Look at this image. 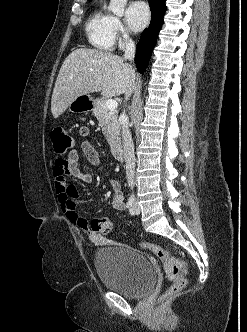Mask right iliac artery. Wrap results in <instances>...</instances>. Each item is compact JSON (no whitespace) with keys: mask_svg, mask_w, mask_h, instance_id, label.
<instances>
[{"mask_svg":"<svg viewBox=\"0 0 247 332\" xmlns=\"http://www.w3.org/2000/svg\"><path fill=\"white\" fill-rule=\"evenodd\" d=\"M133 204H134V199L133 197H129L128 202H127V208H129L130 211H133Z\"/></svg>","mask_w":247,"mask_h":332,"instance_id":"obj_1","label":"right iliac artery"}]
</instances>
